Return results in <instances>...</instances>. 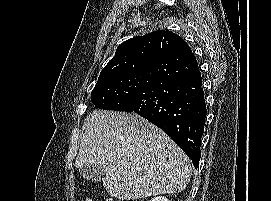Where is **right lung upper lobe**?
<instances>
[{"instance_id": "cb5924a9", "label": "right lung upper lobe", "mask_w": 271, "mask_h": 201, "mask_svg": "<svg viewBox=\"0 0 271 201\" xmlns=\"http://www.w3.org/2000/svg\"><path fill=\"white\" fill-rule=\"evenodd\" d=\"M183 39L168 30H159L123 42L115 56L100 73L99 78L132 70H151L165 55L170 53Z\"/></svg>"}]
</instances>
